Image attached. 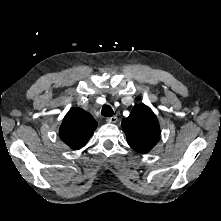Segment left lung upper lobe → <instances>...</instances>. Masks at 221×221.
I'll use <instances>...</instances> for the list:
<instances>
[{"label":"left lung upper lobe","mask_w":221,"mask_h":221,"mask_svg":"<svg viewBox=\"0 0 221 221\" xmlns=\"http://www.w3.org/2000/svg\"><path fill=\"white\" fill-rule=\"evenodd\" d=\"M127 142L138 153L149 152L160 137L159 122L152 110L144 104L136 105L129 117L122 121Z\"/></svg>","instance_id":"left-lung-upper-lobe-1"}]
</instances>
